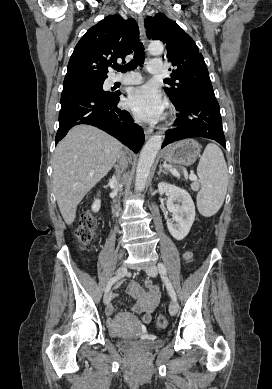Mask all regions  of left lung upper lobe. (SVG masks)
<instances>
[{
	"label": "left lung upper lobe",
	"instance_id": "left-lung-upper-lobe-1",
	"mask_svg": "<svg viewBox=\"0 0 272 389\" xmlns=\"http://www.w3.org/2000/svg\"><path fill=\"white\" fill-rule=\"evenodd\" d=\"M144 24L149 39L166 44L164 59L175 67L171 78L164 79L168 85L165 92L174 105L181 103L190 93L213 89L204 58L187 33L162 13L147 17Z\"/></svg>",
	"mask_w": 272,
	"mask_h": 389
}]
</instances>
